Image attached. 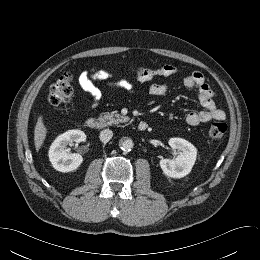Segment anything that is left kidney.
Segmentation results:
<instances>
[{
	"label": "left kidney",
	"mask_w": 260,
	"mask_h": 260,
	"mask_svg": "<svg viewBox=\"0 0 260 260\" xmlns=\"http://www.w3.org/2000/svg\"><path fill=\"white\" fill-rule=\"evenodd\" d=\"M173 150H178L175 159H161L160 167L163 173L172 178H182L188 175L195 164L197 150L193 144L182 138H171L168 141Z\"/></svg>",
	"instance_id": "5707ae66"
}]
</instances>
